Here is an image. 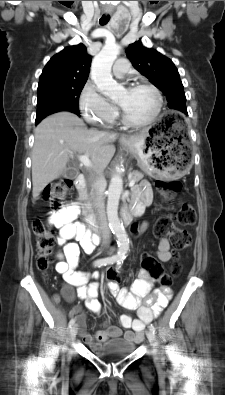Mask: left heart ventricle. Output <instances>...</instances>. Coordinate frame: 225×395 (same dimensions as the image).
Listing matches in <instances>:
<instances>
[{"label":"left heart ventricle","mask_w":225,"mask_h":395,"mask_svg":"<svg viewBox=\"0 0 225 395\" xmlns=\"http://www.w3.org/2000/svg\"><path fill=\"white\" fill-rule=\"evenodd\" d=\"M116 102L123 110L126 117L134 122L148 119L156 105L154 94L146 88L123 90Z\"/></svg>","instance_id":"obj_1"}]
</instances>
